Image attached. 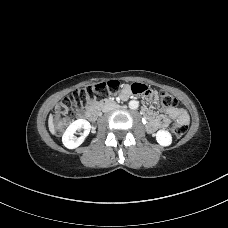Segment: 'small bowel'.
Wrapping results in <instances>:
<instances>
[{
    "label": "small bowel",
    "instance_id": "c3829d8e",
    "mask_svg": "<svg viewBox=\"0 0 228 228\" xmlns=\"http://www.w3.org/2000/svg\"><path fill=\"white\" fill-rule=\"evenodd\" d=\"M130 93H131L130 87L128 85H124L120 90V97L123 99H126L129 97ZM150 99L156 101L158 99L157 94L152 93L150 96ZM94 102H95L94 99H92L88 102V104H90V107L94 105ZM80 115H83V113H80ZM167 115L168 116H165V115L155 116L159 120V126L157 128L167 127L170 122V119H176L183 125H186L189 121V116H188L187 112L182 108H178V107L170 108L167 111ZM152 116H154V115H152ZM147 130H148V128H147ZM149 132H153V131H149Z\"/></svg>",
    "mask_w": 228,
    "mask_h": 228
}]
</instances>
